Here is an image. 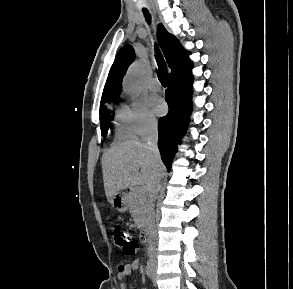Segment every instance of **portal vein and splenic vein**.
<instances>
[{
	"instance_id": "portal-vein-and-splenic-vein-1",
	"label": "portal vein and splenic vein",
	"mask_w": 293,
	"mask_h": 289,
	"mask_svg": "<svg viewBox=\"0 0 293 289\" xmlns=\"http://www.w3.org/2000/svg\"><path fill=\"white\" fill-rule=\"evenodd\" d=\"M134 190H135L136 193H143V190H142L141 187H135Z\"/></svg>"
}]
</instances>
